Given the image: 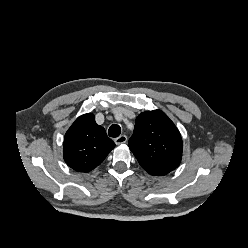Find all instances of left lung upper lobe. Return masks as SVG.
<instances>
[{"instance_id":"obj_1","label":"left lung upper lobe","mask_w":248,"mask_h":248,"mask_svg":"<svg viewBox=\"0 0 248 248\" xmlns=\"http://www.w3.org/2000/svg\"><path fill=\"white\" fill-rule=\"evenodd\" d=\"M129 148L149 174L162 176L179 166L183 143L168 116L161 110H153L136 118Z\"/></svg>"}]
</instances>
